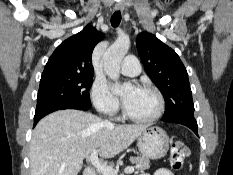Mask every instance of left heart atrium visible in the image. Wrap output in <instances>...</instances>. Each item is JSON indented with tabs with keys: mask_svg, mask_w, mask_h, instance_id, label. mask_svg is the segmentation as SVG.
I'll use <instances>...</instances> for the list:
<instances>
[{
	"mask_svg": "<svg viewBox=\"0 0 233 175\" xmlns=\"http://www.w3.org/2000/svg\"><path fill=\"white\" fill-rule=\"evenodd\" d=\"M137 89H138V88H136V87H135V88H133V92H134L135 90H137Z\"/></svg>",
	"mask_w": 233,
	"mask_h": 175,
	"instance_id": "obj_1",
	"label": "left heart atrium"
}]
</instances>
